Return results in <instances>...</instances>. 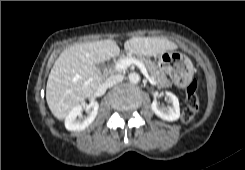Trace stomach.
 Returning a JSON list of instances; mask_svg holds the SVG:
<instances>
[{
	"label": "stomach",
	"mask_w": 245,
	"mask_h": 170,
	"mask_svg": "<svg viewBox=\"0 0 245 170\" xmlns=\"http://www.w3.org/2000/svg\"><path fill=\"white\" fill-rule=\"evenodd\" d=\"M191 67L190 60L180 52L170 50L160 53L158 68L166 74L180 72L184 67Z\"/></svg>",
	"instance_id": "obj_1"
}]
</instances>
